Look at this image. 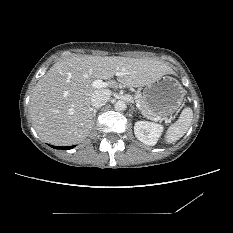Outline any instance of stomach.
Masks as SVG:
<instances>
[{
  "label": "stomach",
  "mask_w": 233,
  "mask_h": 233,
  "mask_svg": "<svg viewBox=\"0 0 233 233\" xmlns=\"http://www.w3.org/2000/svg\"><path fill=\"white\" fill-rule=\"evenodd\" d=\"M142 95L148 107L156 115L168 116L180 107L185 90L175 78L163 76L146 86Z\"/></svg>",
  "instance_id": "0dacf381"
}]
</instances>
